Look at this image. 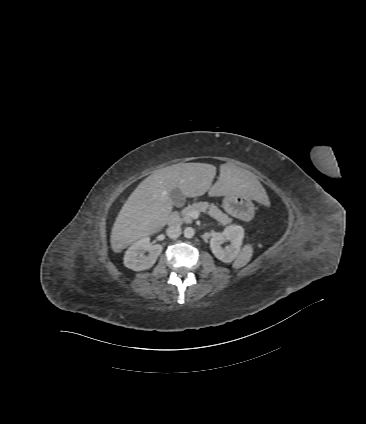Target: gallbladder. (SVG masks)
<instances>
[{
    "label": "gallbladder",
    "instance_id": "1",
    "mask_svg": "<svg viewBox=\"0 0 366 424\" xmlns=\"http://www.w3.org/2000/svg\"><path fill=\"white\" fill-rule=\"evenodd\" d=\"M170 197L172 199L173 204L175 206H178L182 201L183 194L178 188H175L174 190L171 191Z\"/></svg>",
    "mask_w": 366,
    "mask_h": 424
}]
</instances>
